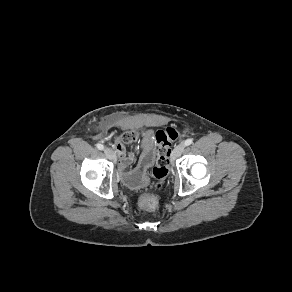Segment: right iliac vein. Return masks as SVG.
<instances>
[{
	"label": "right iliac vein",
	"instance_id": "63e3f726",
	"mask_svg": "<svg viewBox=\"0 0 292 292\" xmlns=\"http://www.w3.org/2000/svg\"><path fill=\"white\" fill-rule=\"evenodd\" d=\"M104 153L106 154V156L111 159V160H115V153L111 148H105L104 149Z\"/></svg>",
	"mask_w": 292,
	"mask_h": 292
}]
</instances>
